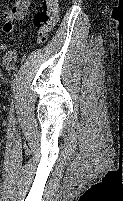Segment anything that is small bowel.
Segmentation results:
<instances>
[{
    "instance_id": "small-bowel-1",
    "label": "small bowel",
    "mask_w": 123,
    "mask_h": 201,
    "mask_svg": "<svg viewBox=\"0 0 123 201\" xmlns=\"http://www.w3.org/2000/svg\"><path fill=\"white\" fill-rule=\"evenodd\" d=\"M32 5L33 0H16L14 6L2 14V30L5 33H11L14 30V22L23 19Z\"/></svg>"
}]
</instances>
